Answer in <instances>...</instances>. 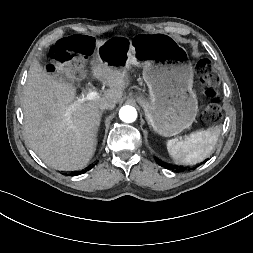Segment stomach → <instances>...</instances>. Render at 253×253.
Instances as JSON below:
<instances>
[{
	"instance_id": "0dacf381",
	"label": "stomach",
	"mask_w": 253,
	"mask_h": 253,
	"mask_svg": "<svg viewBox=\"0 0 253 253\" xmlns=\"http://www.w3.org/2000/svg\"><path fill=\"white\" fill-rule=\"evenodd\" d=\"M183 47L169 35H139L133 40L114 36L97 48V59L127 71L143 68L149 97L137 95L148 124L161 136L171 137L191 126L198 112L193 67Z\"/></svg>"
}]
</instances>
